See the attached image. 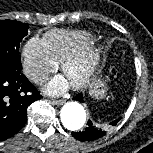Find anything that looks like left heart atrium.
<instances>
[{"instance_id": "obj_1", "label": "left heart atrium", "mask_w": 153, "mask_h": 153, "mask_svg": "<svg viewBox=\"0 0 153 153\" xmlns=\"http://www.w3.org/2000/svg\"><path fill=\"white\" fill-rule=\"evenodd\" d=\"M69 83L62 76L53 78L45 87V92L50 95H60L68 89Z\"/></svg>"}]
</instances>
